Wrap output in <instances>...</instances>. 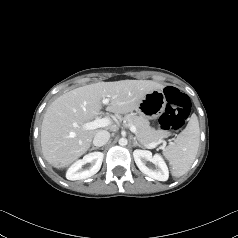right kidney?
Returning a JSON list of instances; mask_svg holds the SVG:
<instances>
[{"mask_svg":"<svg viewBox=\"0 0 238 238\" xmlns=\"http://www.w3.org/2000/svg\"><path fill=\"white\" fill-rule=\"evenodd\" d=\"M104 154L102 152H92L83 157V159L77 160L73 163L66 173L68 180H82L89 178L96 174L102 165ZM86 163H92V167L89 170L82 171L81 168Z\"/></svg>","mask_w":238,"mask_h":238,"instance_id":"ca27d5eb","label":"right kidney"}]
</instances>
